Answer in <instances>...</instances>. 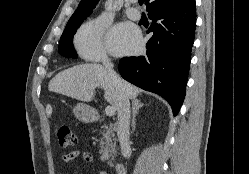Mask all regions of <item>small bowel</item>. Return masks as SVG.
Returning a JSON list of instances; mask_svg holds the SVG:
<instances>
[{"instance_id":"c3829d8e","label":"small bowel","mask_w":249,"mask_h":174,"mask_svg":"<svg viewBox=\"0 0 249 174\" xmlns=\"http://www.w3.org/2000/svg\"><path fill=\"white\" fill-rule=\"evenodd\" d=\"M81 157L85 162L91 163L93 162V156L89 152H80L79 150H73L62 157V161L64 164L68 165L73 160H75L78 157ZM99 174H107L105 171L99 172Z\"/></svg>"}]
</instances>
